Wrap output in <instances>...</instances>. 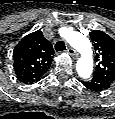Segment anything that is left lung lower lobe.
<instances>
[{"label":"left lung lower lobe","instance_id":"left-lung-lower-lobe-1","mask_svg":"<svg viewBox=\"0 0 115 119\" xmlns=\"http://www.w3.org/2000/svg\"><path fill=\"white\" fill-rule=\"evenodd\" d=\"M112 82L104 77L95 75L88 81L82 82V84L92 91H104L110 87Z\"/></svg>","mask_w":115,"mask_h":119}]
</instances>
